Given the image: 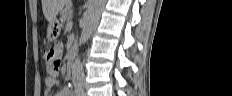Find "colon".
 Listing matches in <instances>:
<instances>
[{"instance_id": "5ec220e1", "label": "colon", "mask_w": 232, "mask_h": 96, "mask_svg": "<svg viewBox=\"0 0 232 96\" xmlns=\"http://www.w3.org/2000/svg\"><path fill=\"white\" fill-rule=\"evenodd\" d=\"M46 59L52 72L57 73L62 65L58 48H52L46 53Z\"/></svg>"}]
</instances>
